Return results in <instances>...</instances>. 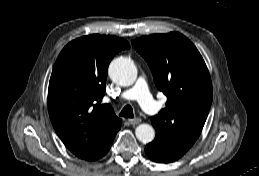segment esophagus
I'll return each instance as SVG.
<instances>
[{"label":"esophagus","instance_id":"obj_1","mask_svg":"<svg viewBox=\"0 0 259 176\" xmlns=\"http://www.w3.org/2000/svg\"><path fill=\"white\" fill-rule=\"evenodd\" d=\"M131 125H137L141 123V118H131L128 120Z\"/></svg>","mask_w":259,"mask_h":176}]
</instances>
